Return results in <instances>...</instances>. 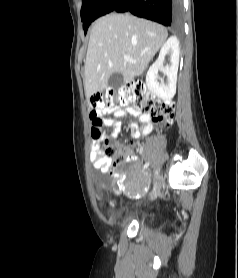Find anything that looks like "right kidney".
I'll use <instances>...</instances> for the list:
<instances>
[{"mask_svg": "<svg viewBox=\"0 0 238 278\" xmlns=\"http://www.w3.org/2000/svg\"><path fill=\"white\" fill-rule=\"evenodd\" d=\"M170 53V66L163 68L165 56ZM179 41L176 37H170L162 46L159 57L156 62L150 67L146 75V85L148 89L163 100L171 99L176 92L177 72L179 65ZM163 69L168 78V83L157 81L158 71Z\"/></svg>", "mask_w": 238, "mask_h": 278, "instance_id": "right-kidney-1", "label": "right kidney"}]
</instances>
